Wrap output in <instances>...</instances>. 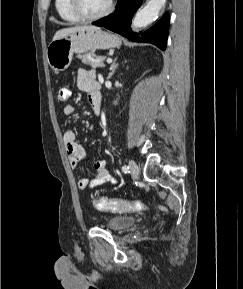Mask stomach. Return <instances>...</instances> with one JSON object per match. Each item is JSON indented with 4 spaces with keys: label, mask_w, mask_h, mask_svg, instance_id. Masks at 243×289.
<instances>
[{
    "label": "stomach",
    "mask_w": 243,
    "mask_h": 289,
    "mask_svg": "<svg viewBox=\"0 0 243 289\" xmlns=\"http://www.w3.org/2000/svg\"><path fill=\"white\" fill-rule=\"evenodd\" d=\"M121 39L101 29H79L52 41L47 49V61L55 72L66 70L74 53L121 46Z\"/></svg>",
    "instance_id": "stomach-1"
}]
</instances>
